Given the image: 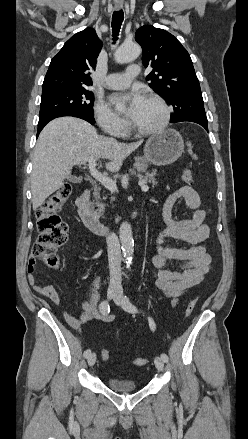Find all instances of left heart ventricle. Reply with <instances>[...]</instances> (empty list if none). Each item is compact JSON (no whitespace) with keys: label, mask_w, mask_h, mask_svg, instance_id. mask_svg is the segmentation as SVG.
Instances as JSON below:
<instances>
[{"label":"left heart ventricle","mask_w":248,"mask_h":439,"mask_svg":"<svg viewBox=\"0 0 248 439\" xmlns=\"http://www.w3.org/2000/svg\"><path fill=\"white\" fill-rule=\"evenodd\" d=\"M163 118V110L156 102L145 99L138 113L131 118L133 123L143 129L156 126Z\"/></svg>","instance_id":"1"}]
</instances>
